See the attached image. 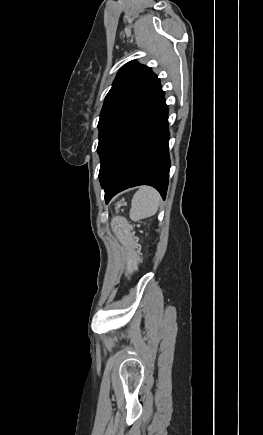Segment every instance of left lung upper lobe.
<instances>
[{
    "mask_svg": "<svg viewBox=\"0 0 263 435\" xmlns=\"http://www.w3.org/2000/svg\"><path fill=\"white\" fill-rule=\"evenodd\" d=\"M162 92L160 80L149 67L130 61L120 69L98 123L101 162L125 128Z\"/></svg>",
    "mask_w": 263,
    "mask_h": 435,
    "instance_id": "5c2ea615",
    "label": "left lung upper lobe"
}]
</instances>
